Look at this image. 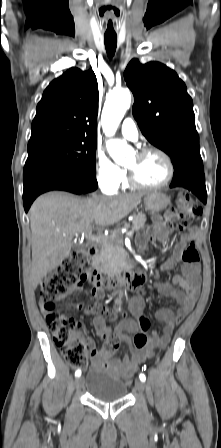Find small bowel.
Returning <instances> with one entry per match:
<instances>
[{"label":"small bowel","instance_id":"1","mask_svg":"<svg viewBox=\"0 0 221 448\" xmlns=\"http://www.w3.org/2000/svg\"><path fill=\"white\" fill-rule=\"evenodd\" d=\"M177 215L172 212H166L164 219L155 217L148 230V235L138 240L140 247H145L148 242H158L165 244L168 241L170 231ZM192 240V234H185L179 241L174 254L161 266V269H169L177 264L181 265L182 274L175 275L172 282H161L157 284L158 291L173 299L178 304V309L173 312L170 309L162 308L156 312V319L164 322L162 334L152 331L148 341L143 348H136L131 341V334L141 330L140 320L143 318L144 298L138 294L130 302L132 315L138 320L128 318L122 320L115 328L114 332L106 325L105 318H113L115 312L111 307L100 304H93L87 307L78 305L74 300L68 299L66 304L82 309L86 316L93 317V326L95 333L104 342V347L98 351L91 349V357L96 367L106 368L123 379L131 377L146 359L154 356L156 349H164L170 341L172 332L176 324L180 322L194 307L198 291L200 288L201 277L198 264H189L183 261L182 251L184 247ZM99 281H94L91 294L100 298ZM79 288L74 289L77 291ZM121 343L129 347V353L122 359H116L115 354Z\"/></svg>","mask_w":221,"mask_h":448}]
</instances>
